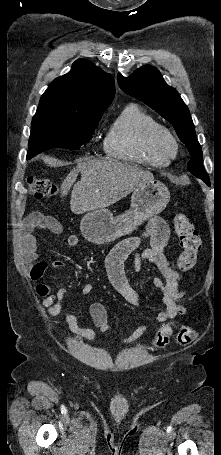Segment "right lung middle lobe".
<instances>
[{
    "mask_svg": "<svg viewBox=\"0 0 221 455\" xmlns=\"http://www.w3.org/2000/svg\"><path fill=\"white\" fill-rule=\"evenodd\" d=\"M103 112L78 116L37 109L31 123L27 158L50 148L79 149L91 140Z\"/></svg>",
    "mask_w": 221,
    "mask_h": 455,
    "instance_id": "right-lung-middle-lobe-1",
    "label": "right lung middle lobe"
}]
</instances>
